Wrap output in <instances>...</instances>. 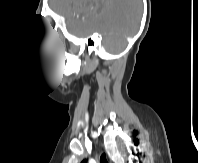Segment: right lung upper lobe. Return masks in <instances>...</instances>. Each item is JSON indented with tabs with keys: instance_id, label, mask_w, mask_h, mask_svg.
<instances>
[{
	"instance_id": "1",
	"label": "right lung upper lobe",
	"mask_w": 198,
	"mask_h": 163,
	"mask_svg": "<svg viewBox=\"0 0 198 163\" xmlns=\"http://www.w3.org/2000/svg\"><path fill=\"white\" fill-rule=\"evenodd\" d=\"M82 163H86V160H84Z\"/></svg>"
}]
</instances>
